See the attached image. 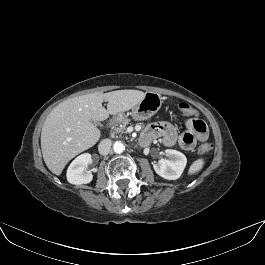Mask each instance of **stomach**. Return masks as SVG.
<instances>
[{
	"label": "stomach",
	"instance_id": "1",
	"mask_svg": "<svg viewBox=\"0 0 265 265\" xmlns=\"http://www.w3.org/2000/svg\"><path fill=\"white\" fill-rule=\"evenodd\" d=\"M162 97L155 92L145 93V97L132 108L131 115L135 120H146L151 118L160 109ZM119 116H124L122 113Z\"/></svg>",
	"mask_w": 265,
	"mask_h": 265
}]
</instances>
